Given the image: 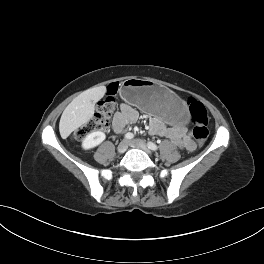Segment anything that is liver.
<instances>
[{
  "mask_svg": "<svg viewBox=\"0 0 264 264\" xmlns=\"http://www.w3.org/2000/svg\"><path fill=\"white\" fill-rule=\"evenodd\" d=\"M106 93L105 86L93 87L78 95L62 113L59 131L63 139L87 123L94 115L95 103Z\"/></svg>",
  "mask_w": 264,
  "mask_h": 264,
  "instance_id": "obj_1",
  "label": "liver"
}]
</instances>
